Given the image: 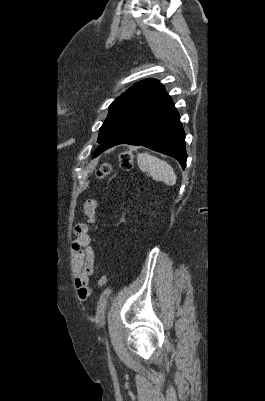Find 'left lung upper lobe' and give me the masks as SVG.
<instances>
[{"label": "left lung upper lobe", "instance_id": "left-lung-upper-lobe-1", "mask_svg": "<svg viewBox=\"0 0 265 401\" xmlns=\"http://www.w3.org/2000/svg\"><path fill=\"white\" fill-rule=\"evenodd\" d=\"M164 92V87L154 79H146L133 85L109 106L110 112L100 128L97 142L101 144L127 119Z\"/></svg>", "mask_w": 265, "mask_h": 401}]
</instances>
